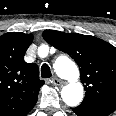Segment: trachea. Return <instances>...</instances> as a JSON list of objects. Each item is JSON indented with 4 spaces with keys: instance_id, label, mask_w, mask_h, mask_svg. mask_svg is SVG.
I'll use <instances>...</instances> for the list:
<instances>
[{
    "instance_id": "3493384b",
    "label": "trachea",
    "mask_w": 116,
    "mask_h": 116,
    "mask_svg": "<svg viewBox=\"0 0 116 116\" xmlns=\"http://www.w3.org/2000/svg\"><path fill=\"white\" fill-rule=\"evenodd\" d=\"M52 76L50 67L47 64H43L41 67V77L50 78Z\"/></svg>"
}]
</instances>
